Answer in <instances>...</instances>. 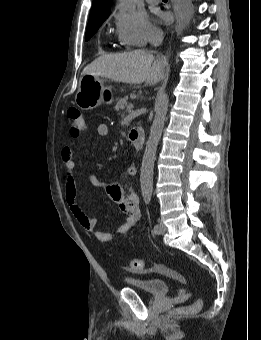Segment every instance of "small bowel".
<instances>
[{
    "label": "small bowel",
    "mask_w": 261,
    "mask_h": 340,
    "mask_svg": "<svg viewBox=\"0 0 261 340\" xmlns=\"http://www.w3.org/2000/svg\"><path fill=\"white\" fill-rule=\"evenodd\" d=\"M97 133L103 137L107 136L109 133L108 126L104 123L99 124ZM61 156L68 174L65 186V198L73 216L84 230L93 232L97 240L101 242H110L113 239V234L97 229L96 219L88 215L78 202L77 186L73 177V170L75 169L76 164L72 150L69 147H64ZM125 174L133 177L137 174V168L134 165H131L126 169ZM88 181L96 188L105 187L109 198L126 214L124 221L117 228V233H126L140 220L141 212L139 208V198L135 192L126 190L117 183L105 184L94 174L88 176Z\"/></svg>",
    "instance_id": "1"
}]
</instances>
